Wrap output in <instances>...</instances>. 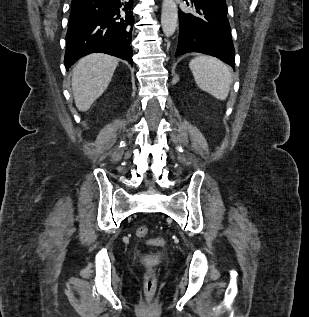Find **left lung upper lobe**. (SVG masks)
Returning a JSON list of instances; mask_svg holds the SVG:
<instances>
[{"label": "left lung upper lobe", "instance_id": "1", "mask_svg": "<svg viewBox=\"0 0 309 317\" xmlns=\"http://www.w3.org/2000/svg\"><path fill=\"white\" fill-rule=\"evenodd\" d=\"M192 2H196L198 4H208L219 7H227L226 0H191Z\"/></svg>", "mask_w": 309, "mask_h": 317}]
</instances>
